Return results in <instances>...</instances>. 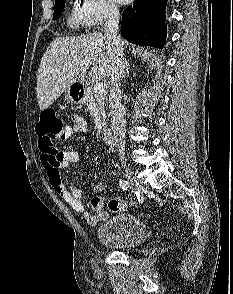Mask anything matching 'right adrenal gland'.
<instances>
[{
  "mask_svg": "<svg viewBox=\"0 0 233 294\" xmlns=\"http://www.w3.org/2000/svg\"><path fill=\"white\" fill-rule=\"evenodd\" d=\"M128 72H129V64H127V68H126V73H125V75L128 74Z\"/></svg>",
  "mask_w": 233,
  "mask_h": 294,
  "instance_id": "2a0ac1e0",
  "label": "right adrenal gland"
}]
</instances>
